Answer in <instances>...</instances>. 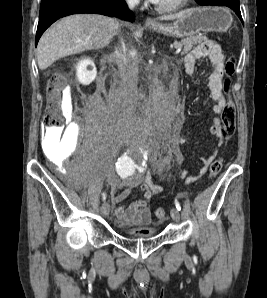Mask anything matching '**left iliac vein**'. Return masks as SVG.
<instances>
[{"instance_id": "left-iliac-vein-1", "label": "left iliac vein", "mask_w": 267, "mask_h": 298, "mask_svg": "<svg viewBox=\"0 0 267 298\" xmlns=\"http://www.w3.org/2000/svg\"><path fill=\"white\" fill-rule=\"evenodd\" d=\"M170 214L174 221L178 222L180 220V213L177 208H172Z\"/></svg>"}]
</instances>
